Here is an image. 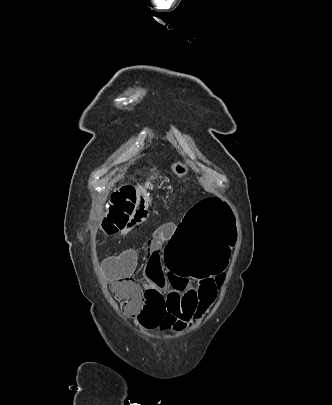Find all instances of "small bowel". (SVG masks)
Instances as JSON below:
<instances>
[{
	"mask_svg": "<svg viewBox=\"0 0 332 405\" xmlns=\"http://www.w3.org/2000/svg\"><path fill=\"white\" fill-rule=\"evenodd\" d=\"M148 183H141L137 191V208L131 216L137 222L127 229L142 223L149 214ZM174 226L165 224L157 228L148 243V256L144 275L140 278L142 293L141 310L137 325L146 331H181L193 320L204 314L216 297L214 277L206 275L205 281H192L187 275H170L162 264L161 245L172 240ZM137 261V252L126 249L110 255L102 261V267L112 278L120 280L132 275ZM195 282L193 285L192 283Z\"/></svg>",
	"mask_w": 332,
	"mask_h": 405,
	"instance_id": "1",
	"label": "small bowel"
}]
</instances>
